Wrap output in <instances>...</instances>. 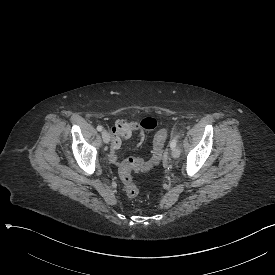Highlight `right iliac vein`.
<instances>
[{"label": "right iliac vein", "instance_id": "63e3f726", "mask_svg": "<svg viewBox=\"0 0 275 275\" xmlns=\"http://www.w3.org/2000/svg\"><path fill=\"white\" fill-rule=\"evenodd\" d=\"M102 139H103L104 143L110 142V134L108 133V131H106V130L102 131Z\"/></svg>", "mask_w": 275, "mask_h": 275}]
</instances>
